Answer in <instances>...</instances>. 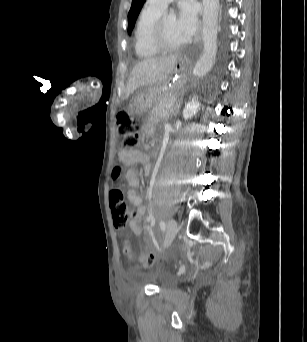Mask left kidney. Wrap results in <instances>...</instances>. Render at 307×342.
Instances as JSON below:
<instances>
[{
  "label": "left kidney",
  "instance_id": "left-kidney-1",
  "mask_svg": "<svg viewBox=\"0 0 307 342\" xmlns=\"http://www.w3.org/2000/svg\"><path fill=\"white\" fill-rule=\"evenodd\" d=\"M198 110H200V104L197 102L196 98H192L191 102L186 104L183 110V118L184 120H192L194 116H196Z\"/></svg>",
  "mask_w": 307,
  "mask_h": 342
}]
</instances>
